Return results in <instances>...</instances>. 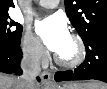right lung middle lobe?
Instances as JSON below:
<instances>
[{"instance_id": "dd1d6c3e", "label": "right lung middle lobe", "mask_w": 107, "mask_h": 89, "mask_svg": "<svg viewBox=\"0 0 107 89\" xmlns=\"http://www.w3.org/2000/svg\"><path fill=\"white\" fill-rule=\"evenodd\" d=\"M22 26L11 20L8 14L0 15V43L15 48L20 45Z\"/></svg>"}]
</instances>
